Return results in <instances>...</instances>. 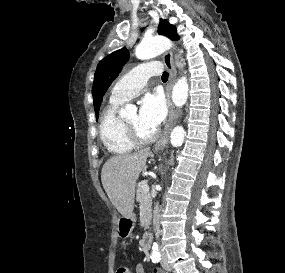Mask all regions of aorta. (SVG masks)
Listing matches in <instances>:
<instances>
[{"instance_id": "1", "label": "aorta", "mask_w": 285, "mask_h": 273, "mask_svg": "<svg viewBox=\"0 0 285 273\" xmlns=\"http://www.w3.org/2000/svg\"><path fill=\"white\" fill-rule=\"evenodd\" d=\"M172 47V43L165 37L156 36L151 38L143 39L135 49V55L140 60H148L154 58L161 53H163L166 49ZM188 82L186 77H181L175 83L172 90V101L173 103L181 107L183 106L188 98ZM136 110V107L133 105H127L125 108L120 110L121 115H125L128 112H133ZM185 131L182 127H175L170 135V142L173 147H179L184 142ZM158 253L157 244H153L152 246V254Z\"/></svg>"}]
</instances>
